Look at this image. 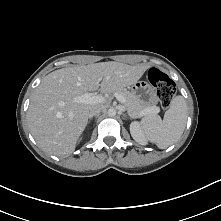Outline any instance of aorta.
<instances>
[{"label":"aorta","mask_w":221,"mask_h":221,"mask_svg":"<svg viewBox=\"0 0 221 221\" xmlns=\"http://www.w3.org/2000/svg\"><path fill=\"white\" fill-rule=\"evenodd\" d=\"M107 113L110 117H114L116 115V110L114 108H110Z\"/></svg>","instance_id":"1"}]
</instances>
